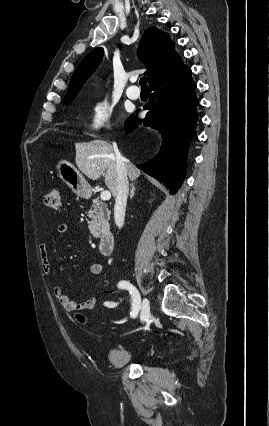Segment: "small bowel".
<instances>
[{"label": "small bowel", "mask_w": 269, "mask_h": 426, "mask_svg": "<svg viewBox=\"0 0 269 426\" xmlns=\"http://www.w3.org/2000/svg\"><path fill=\"white\" fill-rule=\"evenodd\" d=\"M57 233L59 235H67L69 233L68 226L66 224H60L57 227ZM39 257L41 261L42 270L45 275L49 276L52 273V266L49 261L48 248L45 243H41L38 246ZM103 273V265L100 263H93L89 266L88 274L90 276H99ZM53 294L58 301L62 310L66 313H72L76 311H84L95 307L98 304V299L92 297L86 300L77 301L72 299L66 294L62 288L58 285L54 286Z\"/></svg>", "instance_id": "obj_1"}]
</instances>
